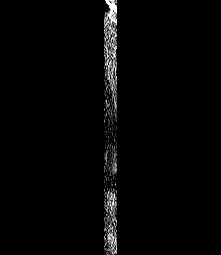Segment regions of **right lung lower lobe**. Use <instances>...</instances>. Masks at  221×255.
<instances>
[{
    "label": "right lung lower lobe",
    "instance_id": "obj_1",
    "mask_svg": "<svg viewBox=\"0 0 221 255\" xmlns=\"http://www.w3.org/2000/svg\"><path fill=\"white\" fill-rule=\"evenodd\" d=\"M127 197H128V196H127V193H126L125 196H124V206H125V204H126V206H127V201H128V200H127V199H128Z\"/></svg>",
    "mask_w": 221,
    "mask_h": 255
}]
</instances>
